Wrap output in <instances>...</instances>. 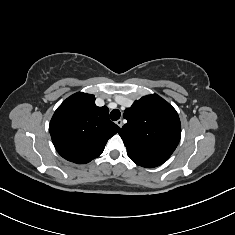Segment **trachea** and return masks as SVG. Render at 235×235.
<instances>
[{"instance_id": "obj_1", "label": "trachea", "mask_w": 235, "mask_h": 235, "mask_svg": "<svg viewBox=\"0 0 235 235\" xmlns=\"http://www.w3.org/2000/svg\"><path fill=\"white\" fill-rule=\"evenodd\" d=\"M121 116V113L118 109H114L111 111L110 113V118L113 120V121H116L120 118Z\"/></svg>"}]
</instances>
